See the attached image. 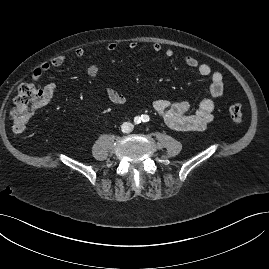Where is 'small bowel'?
Masks as SVG:
<instances>
[{"mask_svg":"<svg viewBox=\"0 0 269 269\" xmlns=\"http://www.w3.org/2000/svg\"><path fill=\"white\" fill-rule=\"evenodd\" d=\"M129 49L135 50L137 48L136 42H130ZM118 48L117 43L110 42L106 46L108 52H114ZM152 49L155 52H162L167 58H171L174 55L172 48L163 49L160 43H153ZM86 51L83 48H77L75 50V56L78 58H84ZM67 58L63 55L56 56L48 62H44L39 65L32 72V79L35 82L40 81L42 76L53 67H60L65 64ZM185 64L191 69H196L198 74L202 77L209 78L208 91L210 98L202 100L198 109L195 112H191V105L188 101H179L170 103L163 99H158L153 103L154 110L161 116L166 125L176 131H202L212 122L214 118L215 110V98L223 96L225 92V84L223 75L220 72L213 71L207 64H201L193 56L185 57ZM86 72L90 76H96L99 73V67L94 62H87L85 64ZM56 91V84L53 82L48 83L42 89L43 99L42 104H48ZM105 93L107 98L116 105H124L126 103V97L119 91L106 87Z\"/></svg>","mask_w":269,"mask_h":269,"instance_id":"small-bowel-1","label":"small bowel"}]
</instances>
